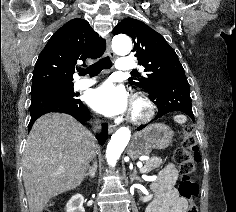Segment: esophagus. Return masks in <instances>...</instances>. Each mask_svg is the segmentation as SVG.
Wrapping results in <instances>:
<instances>
[{"label": "esophagus", "mask_w": 236, "mask_h": 212, "mask_svg": "<svg viewBox=\"0 0 236 212\" xmlns=\"http://www.w3.org/2000/svg\"><path fill=\"white\" fill-rule=\"evenodd\" d=\"M107 54L111 57L114 58L115 54L113 53L112 49H111V45H110V38H107V48H106ZM116 130V125L114 124H110L108 127V131L109 133H112Z\"/></svg>", "instance_id": "34e87169"}]
</instances>
